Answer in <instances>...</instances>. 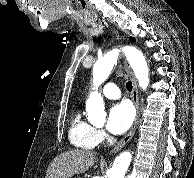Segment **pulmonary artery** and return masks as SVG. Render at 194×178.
<instances>
[{"mask_svg": "<svg viewBox=\"0 0 194 178\" xmlns=\"http://www.w3.org/2000/svg\"><path fill=\"white\" fill-rule=\"evenodd\" d=\"M102 93L108 99H118L121 96V92L115 83L106 84Z\"/></svg>", "mask_w": 194, "mask_h": 178, "instance_id": "1", "label": "pulmonary artery"}]
</instances>
